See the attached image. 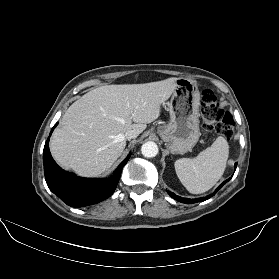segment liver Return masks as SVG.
<instances>
[{
  "instance_id": "obj_1",
  "label": "liver",
  "mask_w": 279,
  "mask_h": 279,
  "mask_svg": "<svg viewBox=\"0 0 279 279\" xmlns=\"http://www.w3.org/2000/svg\"><path fill=\"white\" fill-rule=\"evenodd\" d=\"M176 81L106 85L86 93L67 109L52 134L54 160L80 176L104 173L124 151L126 132L139 135L160 116Z\"/></svg>"
}]
</instances>
